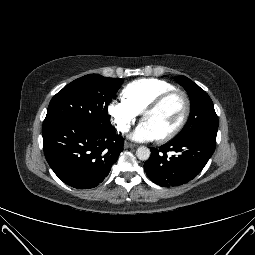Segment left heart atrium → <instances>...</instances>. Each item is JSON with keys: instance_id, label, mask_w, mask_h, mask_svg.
<instances>
[{"instance_id": "39dd6f15", "label": "left heart atrium", "mask_w": 255, "mask_h": 255, "mask_svg": "<svg viewBox=\"0 0 255 255\" xmlns=\"http://www.w3.org/2000/svg\"><path fill=\"white\" fill-rule=\"evenodd\" d=\"M130 138L137 142H147L158 139L155 132L145 122H141L138 125V127L131 133Z\"/></svg>"}]
</instances>
